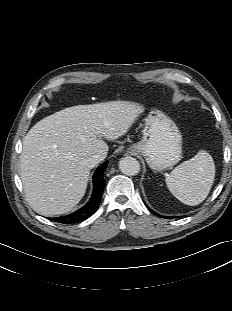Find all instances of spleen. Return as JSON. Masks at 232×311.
<instances>
[{"label":"spleen","mask_w":232,"mask_h":311,"mask_svg":"<svg viewBox=\"0 0 232 311\" xmlns=\"http://www.w3.org/2000/svg\"><path fill=\"white\" fill-rule=\"evenodd\" d=\"M215 178V165L209 153L200 150L166 177L169 191L182 203L200 204L208 196Z\"/></svg>","instance_id":"3e777b00"}]
</instances>
